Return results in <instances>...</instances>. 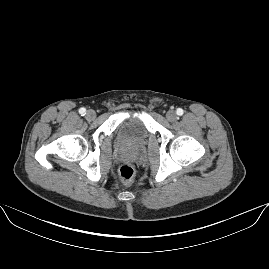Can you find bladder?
Segmentation results:
<instances>
[{"mask_svg": "<svg viewBox=\"0 0 269 269\" xmlns=\"http://www.w3.org/2000/svg\"><path fill=\"white\" fill-rule=\"evenodd\" d=\"M146 138V123L142 117L137 116L128 120L119 129L120 142L131 147L140 146Z\"/></svg>", "mask_w": 269, "mask_h": 269, "instance_id": "obj_1", "label": "bladder"}]
</instances>
